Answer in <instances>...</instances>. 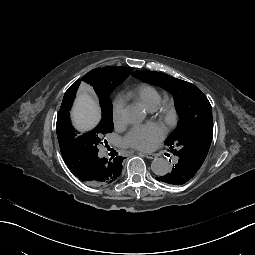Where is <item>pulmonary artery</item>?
Instances as JSON below:
<instances>
[{
    "label": "pulmonary artery",
    "mask_w": 255,
    "mask_h": 255,
    "mask_svg": "<svg viewBox=\"0 0 255 255\" xmlns=\"http://www.w3.org/2000/svg\"><path fill=\"white\" fill-rule=\"evenodd\" d=\"M170 160H171L172 162H177V161L179 160V155H178L177 153H172V154L170 155Z\"/></svg>",
    "instance_id": "pulmonary-artery-1"
}]
</instances>
